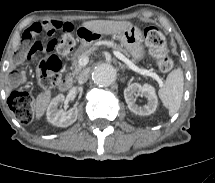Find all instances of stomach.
<instances>
[{"instance_id":"obj_1","label":"stomach","mask_w":215,"mask_h":183,"mask_svg":"<svg viewBox=\"0 0 215 183\" xmlns=\"http://www.w3.org/2000/svg\"><path fill=\"white\" fill-rule=\"evenodd\" d=\"M114 37L120 40L122 46H124L134 60L141 61L144 58L145 50L143 46V37L141 31L137 27L132 26L126 31L115 34ZM96 41L97 39L91 41L83 40L80 49H86Z\"/></svg>"}]
</instances>
